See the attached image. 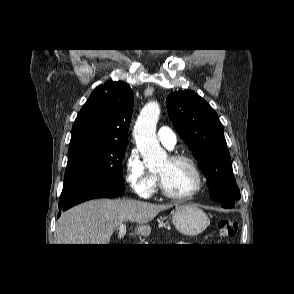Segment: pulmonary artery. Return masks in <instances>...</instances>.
<instances>
[{
    "instance_id": "obj_1",
    "label": "pulmonary artery",
    "mask_w": 294,
    "mask_h": 294,
    "mask_svg": "<svg viewBox=\"0 0 294 294\" xmlns=\"http://www.w3.org/2000/svg\"><path fill=\"white\" fill-rule=\"evenodd\" d=\"M158 139L162 145L171 150L176 144V137L172 130L167 126H162L158 130Z\"/></svg>"
}]
</instances>
